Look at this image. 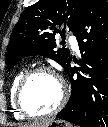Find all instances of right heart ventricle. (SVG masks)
Instances as JSON below:
<instances>
[{
  "mask_svg": "<svg viewBox=\"0 0 108 127\" xmlns=\"http://www.w3.org/2000/svg\"><path fill=\"white\" fill-rule=\"evenodd\" d=\"M26 70L25 69H20L13 77L12 81H11V85H10V90H9V97H10V103L11 106L13 108V112L14 115L17 118H24L25 116L18 110V108L16 107L15 104V93H16V89L17 86L19 84V81L21 80V78L23 77V75L25 74Z\"/></svg>",
  "mask_w": 108,
  "mask_h": 127,
  "instance_id": "1",
  "label": "right heart ventricle"
}]
</instances>
